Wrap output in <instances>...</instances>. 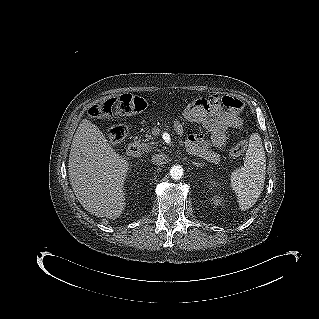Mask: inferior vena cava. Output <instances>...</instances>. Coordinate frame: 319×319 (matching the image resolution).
<instances>
[{
	"label": "inferior vena cava",
	"mask_w": 319,
	"mask_h": 319,
	"mask_svg": "<svg viewBox=\"0 0 319 319\" xmlns=\"http://www.w3.org/2000/svg\"><path fill=\"white\" fill-rule=\"evenodd\" d=\"M152 163L157 166H161L167 162V156L163 153H157L152 156Z\"/></svg>",
	"instance_id": "obj_1"
}]
</instances>
